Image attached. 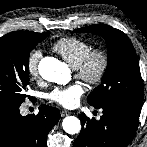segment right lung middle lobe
Masks as SVG:
<instances>
[{"mask_svg":"<svg viewBox=\"0 0 147 147\" xmlns=\"http://www.w3.org/2000/svg\"><path fill=\"white\" fill-rule=\"evenodd\" d=\"M49 33L0 37V105H21L25 101L30 51Z\"/></svg>","mask_w":147,"mask_h":147,"instance_id":"obj_1","label":"right lung middle lobe"}]
</instances>
